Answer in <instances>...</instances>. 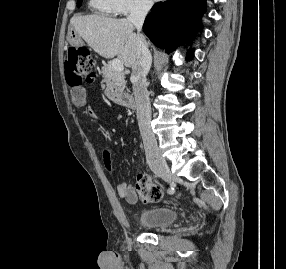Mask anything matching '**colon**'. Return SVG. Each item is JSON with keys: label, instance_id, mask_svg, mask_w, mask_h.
Returning a JSON list of instances; mask_svg holds the SVG:
<instances>
[{"label": "colon", "instance_id": "5ec220e1", "mask_svg": "<svg viewBox=\"0 0 286 269\" xmlns=\"http://www.w3.org/2000/svg\"><path fill=\"white\" fill-rule=\"evenodd\" d=\"M65 71L68 82L73 88L84 84H94L97 80L95 64L91 53L86 48H70L67 52ZM138 197L145 202H158L163 197L162 190L152 184L146 174L138 176L136 183Z\"/></svg>", "mask_w": 286, "mask_h": 269}]
</instances>
